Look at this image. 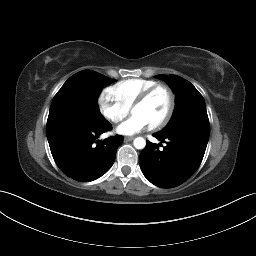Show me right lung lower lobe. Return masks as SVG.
Here are the masks:
<instances>
[{
	"instance_id": "obj_1",
	"label": "right lung lower lobe",
	"mask_w": 256,
	"mask_h": 256,
	"mask_svg": "<svg viewBox=\"0 0 256 256\" xmlns=\"http://www.w3.org/2000/svg\"><path fill=\"white\" fill-rule=\"evenodd\" d=\"M112 128L109 122L87 124L60 120L47 122L46 132L54 161L68 177L79 182L93 181L113 165L123 137L103 141L97 138Z\"/></svg>"
}]
</instances>
